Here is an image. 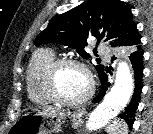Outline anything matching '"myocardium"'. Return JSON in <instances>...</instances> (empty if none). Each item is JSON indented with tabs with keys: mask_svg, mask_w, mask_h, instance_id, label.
<instances>
[{
	"mask_svg": "<svg viewBox=\"0 0 153 134\" xmlns=\"http://www.w3.org/2000/svg\"><path fill=\"white\" fill-rule=\"evenodd\" d=\"M66 66H74L81 69L85 73L88 79V91L80 99H77V100L66 99L59 93L57 89V84H56L57 74L61 68ZM43 83H44L45 91L54 102L60 103L65 106H71V107L81 106L85 104L86 102H88L90 98L92 97L94 93V88H95L93 75L89 67L85 63L72 58L54 59L46 67L44 71Z\"/></svg>",
	"mask_w": 153,
	"mask_h": 134,
	"instance_id": "myocardium-1",
	"label": "myocardium"
}]
</instances>
